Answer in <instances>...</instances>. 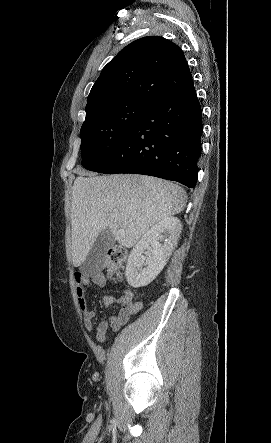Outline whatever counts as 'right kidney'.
Returning a JSON list of instances; mask_svg holds the SVG:
<instances>
[{
	"instance_id": "right-kidney-1",
	"label": "right kidney",
	"mask_w": 271,
	"mask_h": 443,
	"mask_svg": "<svg viewBox=\"0 0 271 443\" xmlns=\"http://www.w3.org/2000/svg\"><path fill=\"white\" fill-rule=\"evenodd\" d=\"M181 229L180 220L168 216L142 235L128 257L125 275L129 285L142 287L155 279L175 249ZM143 253H146L147 257Z\"/></svg>"
}]
</instances>
